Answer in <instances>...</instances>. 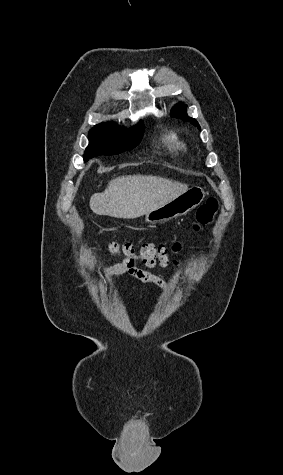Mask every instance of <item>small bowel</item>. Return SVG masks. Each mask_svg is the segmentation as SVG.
Returning a JSON list of instances; mask_svg holds the SVG:
<instances>
[{
  "instance_id": "1",
  "label": "small bowel",
  "mask_w": 283,
  "mask_h": 475,
  "mask_svg": "<svg viewBox=\"0 0 283 475\" xmlns=\"http://www.w3.org/2000/svg\"><path fill=\"white\" fill-rule=\"evenodd\" d=\"M99 275L101 277H113V276H130L135 280H138L144 284L152 285L157 289L170 293L171 288L169 284L160 276L143 269L129 265L128 263H115L111 266L103 268Z\"/></svg>"
}]
</instances>
